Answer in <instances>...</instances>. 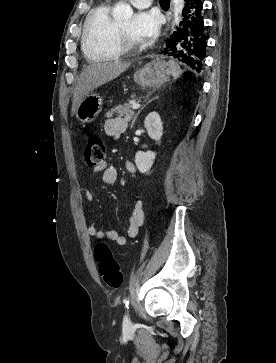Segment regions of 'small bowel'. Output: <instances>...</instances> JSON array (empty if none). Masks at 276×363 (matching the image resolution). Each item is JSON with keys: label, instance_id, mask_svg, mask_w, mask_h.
Here are the masks:
<instances>
[{"label": "small bowel", "instance_id": "small-bowel-1", "mask_svg": "<svg viewBox=\"0 0 276 363\" xmlns=\"http://www.w3.org/2000/svg\"><path fill=\"white\" fill-rule=\"evenodd\" d=\"M126 128L127 122L122 117H111L108 118L104 123V132L112 139H118L126 131ZM125 169L132 175L136 174V168L131 162L125 163ZM91 172L93 174L101 173L102 181L107 185H114L118 179L116 168L109 166L105 162L94 167ZM81 191L90 203L94 202L93 194L86 187H81ZM143 221V203L141 199L136 198L129 215L128 229L126 234L118 233L114 230H100L92 223L87 224L86 233L89 237L97 240H108L118 245H124L129 238H135L138 235Z\"/></svg>", "mask_w": 276, "mask_h": 363}]
</instances>
